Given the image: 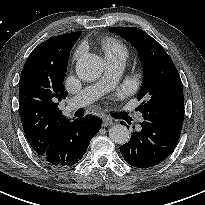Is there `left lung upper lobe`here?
Instances as JSON below:
<instances>
[{
  "label": "left lung upper lobe",
  "instance_id": "5c2ea615",
  "mask_svg": "<svg viewBox=\"0 0 205 205\" xmlns=\"http://www.w3.org/2000/svg\"><path fill=\"white\" fill-rule=\"evenodd\" d=\"M112 30L131 42L143 65V85L138 94L142 117H152L162 110L184 109V96L178 71L163 47L136 27H113Z\"/></svg>",
  "mask_w": 205,
  "mask_h": 205
}]
</instances>
